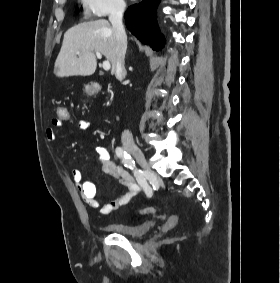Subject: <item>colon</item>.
<instances>
[{"mask_svg": "<svg viewBox=\"0 0 280 283\" xmlns=\"http://www.w3.org/2000/svg\"><path fill=\"white\" fill-rule=\"evenodd\" d=\"M84 91L88 94H93L95 92H101V87H85ZM71 108L65 107V105H59L56 109L57 122H70ZM154 209L147 208L141 211V214H152Z\"/></svg>", "mask_w": 280, "mask_h": 283, "instance_id": "1", "label": "colon"}]
</instances>
